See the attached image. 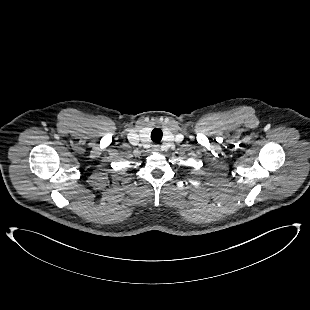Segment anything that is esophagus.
I'll use <instances>...</instances> for the list:
<instances>
[{"label":"esophagus","mask_w":310,"mask_h":310,"mask_svg":"<svg viewBox=\"0 0 310 310\" xmlns=\"http://www.w3.org/2000/svg\"><path fill=\"white\" fill-rule=\"evenodd\" d=\"M154 149L157 150V149H158V146H154Z\"/></svg>","instance_id":"esophagus-1"}]
</instances>
